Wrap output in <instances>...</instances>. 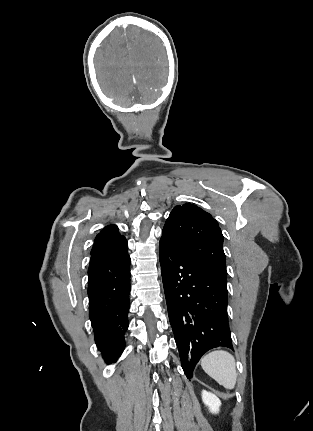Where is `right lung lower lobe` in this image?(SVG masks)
<instances>
[{
    "instance_id": "right-lung-lower-lobe-1",
    "label": "right lung lower lobe",
    "mask_w": 313,
    "mask_h": 431,
    "mask_svg": "<svg viewBox=\"0 0 313 431\" xmlns=\"http://www.w3.org/2000/svg\"><path fill=\"white\" fill-rule=\"evenodd\" d=\"M126 239L91 254L88 269L89 318L94 339L108 363L124 350L130 307V257Z\"/></svg>"
}]
</instances>
